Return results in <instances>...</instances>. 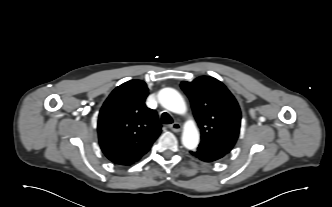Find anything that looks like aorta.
I'll return each mask as SVG.
<instances>
[{"label":"aorta","mask_w":332,"mask_h":207,"mask_svg":"<svg viewBox=\"0 0 332 207\" xmlns=\"http://www.w3.org/2000/svg\"><path fill=\"white\" fill-rule=\"evenodd\" d=\"M158 100L165 109L177 113L185 114L186 104L183 97L173 88H164L158 93ZM199 131L193 120H189L183 130L182 144L189 150H194L199 144Z\"/></svg>","instance_id":"obj_1"}]
</instances>
